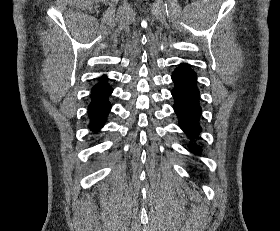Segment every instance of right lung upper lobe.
<instances>
[{"mask_svg": "<svg viewBox=\"0 0 280 231\" xmlns=\"http://www.w3.org/2000/svg\"><path fill=\"white\" fill-rule=\"evenodd\" d=\"M106 76L99 78V82L92 88L91 93H98L108 89L110 86L107 83Z\"/></svg>", "mask_w": 280, "mask_h": 231, "instance_id": "right-lung-upper-lobe-1", "label": "right lung upper lobe"}]
</instances>
